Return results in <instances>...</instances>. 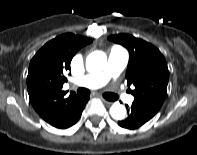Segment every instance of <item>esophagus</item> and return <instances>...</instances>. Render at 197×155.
Wrapping results in <instances>:
<instances>
[{
  "mask_svg": "<svg viewBox=\"0 0 197 155\" xmlns=\"http://www.w3.org/2000/svg\"><path fill=\"white\" fill-rule=\"evenodd\" d=\"M102 101H103L106 105H111V104H112V102L107 101V100H105V99H102Z\"/></svg>",
  "mask_w": 197,
  "mask_h": 155,
  "instance_id": "obj_1",
  "label": "esophagus"
}]
</instances>
